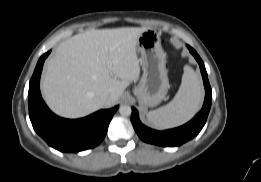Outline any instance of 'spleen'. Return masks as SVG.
Returning <instances> with one entry per match:
<instances>
[{
	"label": "spleen",
	"mask_w": 261,
	"mask_h": 182,
	"mask_svg": "<svg viewBox=\"0 0 261 182\" xmlns=\"http://www.w3.org/2000/svg\"><path fill=\"white\" fill-rule=\"evenodd\" d=\"M203 101L201 79L186 65L180 88L167 105L147 113V119L158 129H169L187 122L200 109Z\"/></svg>",
	"instance_id": "3e777b00"
}]
</instances>
